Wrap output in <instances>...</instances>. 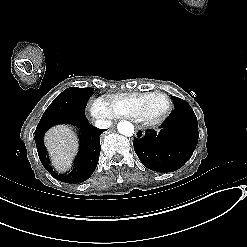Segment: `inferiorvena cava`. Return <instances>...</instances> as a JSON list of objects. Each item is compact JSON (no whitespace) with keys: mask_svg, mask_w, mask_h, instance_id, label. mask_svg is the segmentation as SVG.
I'll use <instances>...</instances> for the list:
<instances>
[{"mask_svg":"<svg viewBox=\"0 0 247 247\" xmlns=\"http://www.w3.org/2000/svg\"><path fill=\"white\" fill-rule=\"evenodd\" d=\"M112 125L111 120L97 119L94 121V126L98 129H108Z\"/></svg>","mask_w":247,"mask_h":247,"instance_id":"602c4592","label":"inferior vena cava"}]
</instances>
